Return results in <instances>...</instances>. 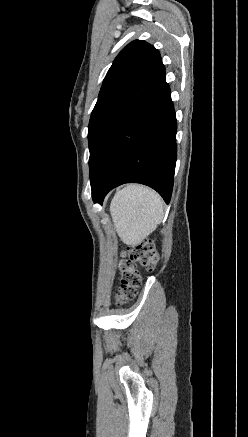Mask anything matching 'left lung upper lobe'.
<instances>
[{
    "mask_svg": "<svg viewBox=\"0 0 248 437\" xmlns=\"http://www.w3.org/2000/svg\"><path fill=\"white\" fill-rule=\"evenodd\" d=\"M164 81L159 51L143 40L132 41L115 58L89 121L90 182L115 133Z\"/></svg>",
    "mask_w": 248,
    "mask_h": 437,
    "instance_id": "obj_1",
    "label": "left lung upper lobe"
}]
</instances>
